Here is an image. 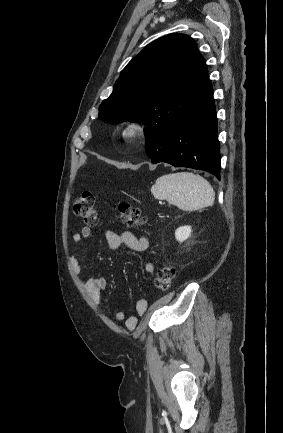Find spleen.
Listing matches in <instances>:
<instances>
[{
    "label": "spleen",
    "mask_w": 283,
    "mask_h": 433,
    "mask_svg": "<svg viewBox=\"0 0 283 433\" xmlns=\"http://www.w3.org/2000/svg\"><path fill=\"white\" fill-rule=\"evenodd\" d=\"M159 200H168L181 210H199L211 206L215 192L206 178L193 172H173L159 176L151 188Z\"/></svg>",
    "instance_id": "3e777b00"
}]
</instances>
